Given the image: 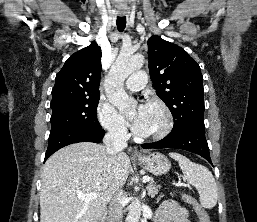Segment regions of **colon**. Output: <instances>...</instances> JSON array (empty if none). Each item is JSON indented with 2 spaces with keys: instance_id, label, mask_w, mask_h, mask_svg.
<instances>
[{
  "instance_id": "obj_1",
  "label": "colon",
  "mask_w": 257,
  "mask_h": 222,
  "mask_svg": "<svg viewBox=\"0 0 257 222\" xmlns=\"http://www.w3.org/2000/svg\"><path fill=\"white\" fill-rule=\"evenodd\" d=\"M182 198L184 199L185 202H187V203H189L190 205L193 206L195 212L198 215V218H199L200 222H210V218H209L208 213L201 206H199L196 203L195 199L192 196H190L188 194H183Z\"/></svg>"
}]
</instances>
